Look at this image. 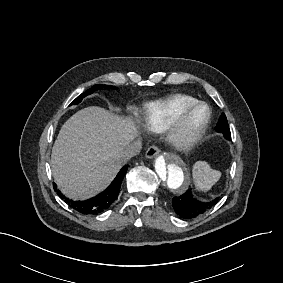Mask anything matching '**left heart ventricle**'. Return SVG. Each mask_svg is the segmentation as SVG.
I'll list each match as a JSON object with an SVG mask.
<instances>
[{
	"mask_svg": "<svg viewBox=\"0 0 283 283\" xmlns=\"http://www.w3.org/2000/svg\"><path fill=\"white\" fill-rule=\"evenodd\" d=\"M178 114L179 113L177 111L173 112L174 120L177 119ZM201 116H202V111L201 110L193 111L188 116L187 121L185 122V124L181 128L180 134L187 133L192 128V126L201 118Z\"/></svg>",
	"mask_w": 283,
	"mask_h": 283,
	"instance_id": "left-heart-ventricle-1",
	"label": "left heart ventricle"
}]
</instances>
